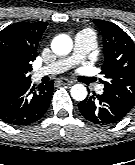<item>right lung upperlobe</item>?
Here are the masks:
<instances>
[{
	"instance_id": "right-lung-upper-lobe-1",
	"label": "right lung upper lobe",
	"mask_w": 135,
	"mask_h": 165,
	"mask_svg": "<svg viewBox=\"0 0 135 165\" xmlns=\"http://www.w3.org/2000/svg\"><path fill=\"white\" fill-rule=\"evenodd\" d=\"M48 23L20 22L0 31V82L30 80L40 38Z\"/></svg>"
}]
</instances>
